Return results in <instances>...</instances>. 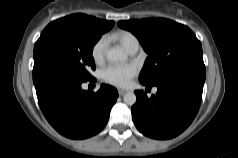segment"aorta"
<instances>
[{"instance_id": "aorta-1", "label": "aorta", "mask_w": 238, "mask_h": 158, "mask_svg": "<svg viewBox=\"0 0 238 158\" xmlns=\"http://www.w3.org/2000/svg\"><path fill=\"white\" fill-rule=\"evenodd\" d=\"M106 57L111 62H118L126 60L127 55L121 49L111 48L107 51ZM136 100L137 98L134 92H127L123 96L124 103L130 106L134 105L136 103Z\"/></svg>"}]
</instances>
